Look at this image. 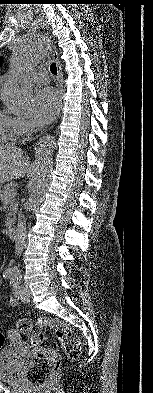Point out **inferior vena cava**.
Returning <instances> with one entry per match:
<instances>
[{
    "label": "inferior vena cava",
    "instance_id": "602c4592",
    "mask_svg": "<svg viewBox=\"0 0 153 393\" xmlns=\"http://www.w3.org/2000/svg\"><path fill=\"white\" fill-rule=\"evenodd\" d=\"M26 238V221L22 212L18 215V224L16 230V240H15V253L16 255L21 254L25 246Z\"/></svg>",
    "mask_w": 153,
    "mask_h": 393
}]
</instances>
